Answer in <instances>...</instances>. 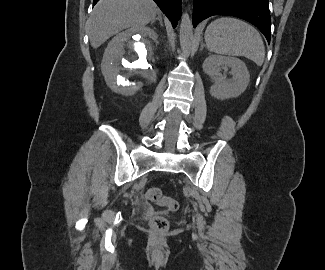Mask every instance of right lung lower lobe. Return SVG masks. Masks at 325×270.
Listing matches in <instances>:
<instances>
[{"mask_svg":"<svg viewBox=\"0 0 325 270\" xmlns=\"http://www.w3.org/2000/svg\"><path fill=\"white\" fill-rule=\"evenodd\" d=\"M99 0H94V5ZM156 4L160 7L163 13L169 18L172 22L173 27L177 25L178 20L181 16V0H154Z\"/></svg>","mask_w":325,"mask_h":270,"instance_id":"obj_1","label":"right lung lower lobe"}]
</instances>
